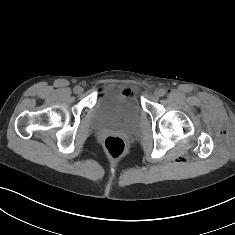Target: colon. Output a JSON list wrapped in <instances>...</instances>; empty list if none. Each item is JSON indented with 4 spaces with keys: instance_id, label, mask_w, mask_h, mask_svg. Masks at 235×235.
Returning a JSON list of instances; mask_svg holds the SVG:
<instances>
[{
    "instance_id": "obj_1",
    "label": "colon",
    "mask_w": 235,
    "mask_h": 235,
    "mask_svg": "<svg viewBox=\"0 0 235 235\" xmlns=\"http://www.w3.org/2000/svg\"><path fill=\"white\" fill-rule=\"evenodd\" d=\"M104 149L110 158L119 159L125 154L126 146L122 138L108 136L104 140Z\"/></svg>"
}]
</instances>
